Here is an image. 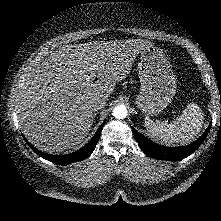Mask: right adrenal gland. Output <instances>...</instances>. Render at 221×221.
<instances>
[{"label": "right adrenal gland", "instance_id": "obj_1", "mask_svg": "<svg viewBox=\"0 0 221 221\" xmlns=\"http://www.w3.org/2000/svg\"><path fill=\"white\" fill-rule=\"evenodd\" d=\"M96 117V112H94V114H93V119Z\"/></svg>", "mask_w": 221, "mask_h": 221}]
</instances>
